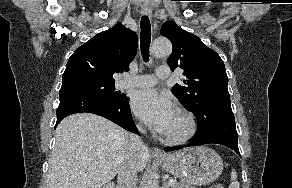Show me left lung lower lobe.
I'll return each mask as SVG.
<instances>
[{"label":"left lung lower lobe","mask_w":292,"mask_h":188,"mask_svg":"<svg viewBox=\"0 0 292 188\" xmlns=\"http://www.w3.org/2000/svg\"><path fill=\"white\" fill-rule=\"evenodd\" d=\"M209 143L224 145L240 154L234 116L224 117L213 122L207 128L199 130L196 133V138L191 143L179 147L165 148V151H174L184 147Z\"/></svg>","instance_id":"left-lung-lower-lobe-1"}]
</instances>
